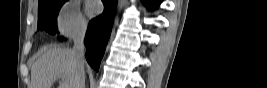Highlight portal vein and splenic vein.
I'll return each instance as SVG.
<instances>
[{"mask_svg": "<svg viewBox=\"0 0 267 88\" xmlns=\"http://www.w3.org/2000/svg\"><path fill=\"white\" fill-rule=\"evenodd\" d=\"M61 79H62V81H64V79H65V77L64 76H59ZM67 86H63V88H66Z\"/></svg>", "mask_w": 267, "mask_h": 88, "instance_id": "obj_1", "label": "portal vein and splenic vein"}]
</instances>
